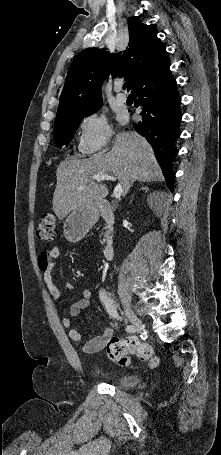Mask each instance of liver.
Instances as JSON below:
<instances>
[{
  "label": "liver",
  "mask_w": 221,
  "mask_h": 455,
  "mask_svg": "<svg viewBox=\"0 0 221 455\" xmlns=\"http://www.w3.org/2000/svg\"><path fill=\"white\" fill-rule=\"evenodd\" d=\"M95 174L114 175L127 194L135 181H161L162 171L147 140L138 133L122 132L116 136L112 149L89 159L63 161L57 168L53 210L62 220L72 210L100 202L108 194L104 184L96 183Z\"/></svg>",
  "instance_id": "obj_1"
}]
</instances>
